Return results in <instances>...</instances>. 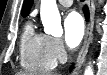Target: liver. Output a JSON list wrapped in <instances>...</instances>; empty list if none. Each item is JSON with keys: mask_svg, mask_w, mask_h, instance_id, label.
Returning <instances> with one entry per match:
<instances>
[{"mask_svg": "<svg viewBox=\"0 0 107 75\" xmlns=\"http://www.w3.org/2000/svg\"><path fill=\"white\" fill-rule=\"evenodd\" d=\"M17 75H28L27 72H19ZM50 75H57V74H50Z\"/></svg>", "mask_w": 107, "mask_h": 75, "instance_id": "liver-1", "label": "liver"}]
</instances>
